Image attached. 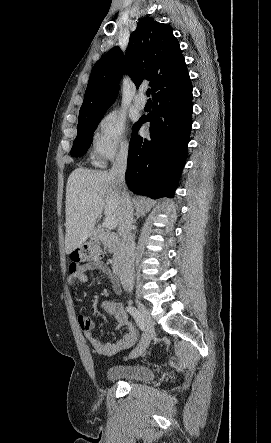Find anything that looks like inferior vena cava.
<instances>
[{"mask_svg": "<svg viewBox=\"0 0 271 443\" xmlns=\"http://www.w3.org/2000/svg\"><path fill=\"white\" fill-rule=\"evenodd\" d=\"M128 146H121L120 154L116 156L112 170L109 172L117 190L120 192L121 220L118 231L121 235L119 249L115 257V269L120 277L123 289L131 291L134 282L135 241L131 235L133 223V208L128 192H126L125 172L127 168Z\"/></svg>", "mask_w": 271, "mask_h": 443, "instance_id": "1", "label": "inferior vena cava"}]
</instances>
